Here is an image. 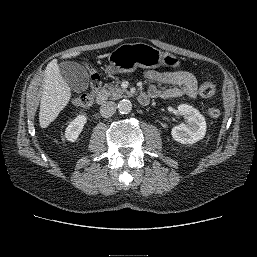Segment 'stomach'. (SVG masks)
I'll return each instance as SVG.
<instances>
[{
  "instance_id": "0dacf381",
  "label": "stomach",
  "mask_w": 257,
  "mask_h": 257,
  "mask_svg": "<svg viewBox=\"0 0 257 257\" xmlns=\"http://www.w3.org/2000/svg\"><path fill=\"white\" fill-rule=\"evenodd\" d=\"M108 60V73H127L135 71L138 67L156 68L162 64L179 67L181 64L177 56L163 53L145 43L122 44L110 53Z\"/></svg>"
}]
</instances>
